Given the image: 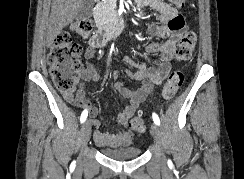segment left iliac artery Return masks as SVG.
<instances>
[{
    "label": "left iliac artery",
    "instance_id": "obj_1",
    "mask_svg": "<svg viewBox=\"0 0 244 179\" xmlns=\"http://www.w3.org/2000/svg\"><path fill=\"white\" fill-rule=\"evenodd\" d=\"M152 118L155 124L160 125V119L156 113L152 114Z\"/></svg>",
    "mask_w": 244,
    "mask_h": 179
}]
</instances>
